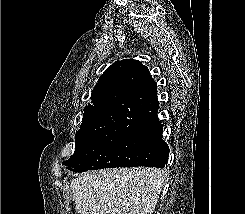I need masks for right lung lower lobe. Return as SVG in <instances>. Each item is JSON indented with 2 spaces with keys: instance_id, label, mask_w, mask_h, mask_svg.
<instances>
[{
  "instance_id": "1",
  "label": "right lung lower lobe",
  "mask_w": 245,
  "mask_h": 214,
  "mask_svg": "<svg viewBox=\"0 0 245 214\" xmlns=\"http://www.w3.org/2000/svg\"><path fill=\"white\" fill-rule=\"evenodd\" d=\"M156 94L141 99L140 117L134 126L127 128L128 137L117 147L120 161L117 167H164L167 164L169 147L162 138Z\"/></svg>"
}]
</instances>
